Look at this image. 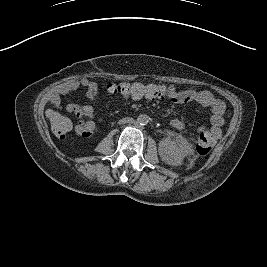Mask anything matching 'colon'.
Masks as SVG:
<instances>
[{
  "label": "colon",
  "instance_id": "1",
  "mask_svg": "<svg viewBox=\"0 0 267 267\" xmlns=\"http://www.w3.org/2000/svg\"><path fill=\"white\" fill-rule=\"evenodd\" d=\"M109 92L117 94L123 98H173L174 94L168 87L157 84H142L124 82L119 84H112L108 87ZM75 115L80 119L82 124V117L80 112ZM50 125L53 134L59 138H65L72 128L71 120L63 115L56 113L50 117ZM83 135H92V131L86 130ZM213 145L212 138L207 133L200 134L196 152L199 156H205L210 153Z\"/></svg>",
  "mask_w": 267,
  "mask_h": 267
}]
</instances>
